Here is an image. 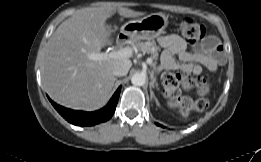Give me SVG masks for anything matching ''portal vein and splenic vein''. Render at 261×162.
<instances>
[{
    "instance_id": "portal-vein-and-splenic-vein-1",
    "label": "portal vein and splenic vein",
    "mask_w": 261,
    "mask_h": 162,
    "mask_svg": "<svg viewBox=\"0 0 261 162\" xmlns=\"http://www.w3.org/2000/svg\"><path fill=\"white\" fill-rule=\"evenodd\" d=\"M132 54L133 49L130 47H125L119 50H112L111 52L91 53L88 55V58L95 61H105L110 59H128L132 56ZM147 63L151 64L152 59L148 58Z\"/></svg>"
}]
</instances>
